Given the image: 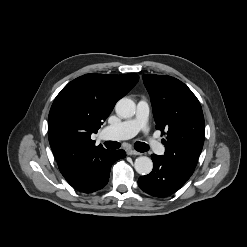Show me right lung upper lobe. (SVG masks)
<instances>
[{"label":"right lung upper lobe","instance_id":"obj_1","mask_svg":"<svg viewBox=\"0 0 247 247\" xmlns=\"http://www.w3.org/2000/svg\"><path fill=\"white\" fill-rule=\"evenodd\" d=\"M136 73L86 74L68 83L55 98L48 117V138L60 172L73 183L109 151L95 146L96 133L116 101L137 83Z\"/></svg>","mask_w":247,"mask_h":247}]
</instances>
